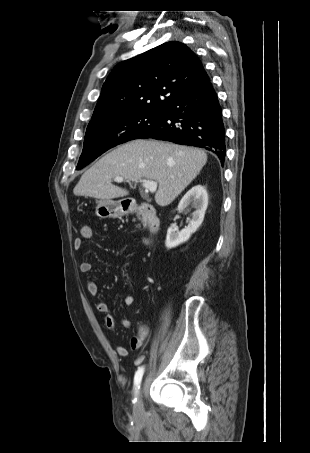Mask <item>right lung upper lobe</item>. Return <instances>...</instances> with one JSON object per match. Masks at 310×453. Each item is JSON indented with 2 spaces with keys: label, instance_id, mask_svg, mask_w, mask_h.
Here are the masks:
<instances>
[{
  "label": "right lung upper lobe",
  "instance_id": "obj_1",
  "mask_svg": "<svg viewBox=\"0 0 310 453\" xmlns=\"http://www.w3.org/2000/svg\"><path fill=\"white\" fill-rule=\"evenodd\" d=\"M198 56L185 44L167 42L112 70L91 121L133 111L163 110L204 75Z\"/></svg>",
  "mask_w": 310,
  "mask_h": 453
}]
</instances>
